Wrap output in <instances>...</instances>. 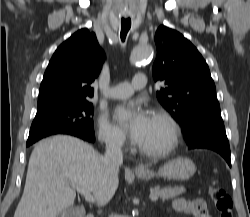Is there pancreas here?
<instances>
[{"label":"pancreas","instance_id":"1","mask_svg":"<svg viewBox=\"0 0 250 217\" xmlns=\"http://www.w3.org/2000/svg\"><path fill=\"white\" fill-rule=\"evenodd\" d=\"M185 191V188L178 186L164 188L156 186L152 188L150 192L151 195L159 196L164 201L175 198L176 196L183 194Z\"/></svg>","mask_w":250,"mask_h":217}]
</instances>
